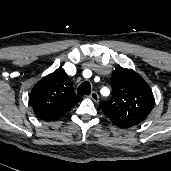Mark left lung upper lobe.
Instances as JSON below:
<instances>
[{
	"mask_svg": "<svg viewBox=\"0 0 171 171\" xmlns=\"http://www.w3.org/2000/svg\"><path fill=\"white\" fill-rule=\"evenodd\" d=\"M112 98L100 104L109 119L120 128L141 124L154 105L152 90L131 69L117 68L111 77Z\"/></svg>",
	"mask_w": 171,
	"mask_h": 171,
	"instance_id": "left-lung-upper-lobe-1",
	"label": "left lung upper lobe"
}]
</instances>
